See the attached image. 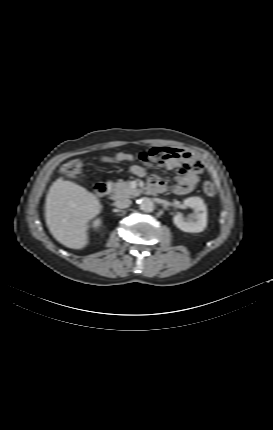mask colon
Masks as SVG:
<instances>
[{
	"mask_svg": "<svg viewBox=\"0 0 273 430\" xmlns=\"http://www.w3.org/2000/svg\"><path fill=\"white\" fill-rule=\"evenodd\" d=\"M104 160L108 161L109 158H105ZM83 166V162L80 159H74L66 163L62 168L63 175L67 177H74L81 171ZM203 191L208 196H213L216 192L215 185L210 181H205L203 183Z\"/></svg>",
	"mask_w": 273,
	"mask_h": 430,
	"instance_id": "colon-1",
	"label": "colon"
}]
</instances>
